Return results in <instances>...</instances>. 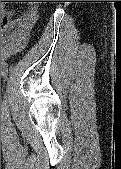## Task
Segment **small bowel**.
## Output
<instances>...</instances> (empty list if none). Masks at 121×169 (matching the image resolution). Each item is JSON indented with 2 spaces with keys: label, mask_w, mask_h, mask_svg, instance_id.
Listing matches in <instances>:
<instances>
[{
  "label": "small bowel",
  "mask_w": 121,
  "mask_h": 169,
  "mask_svg": "<svg viewBox=\"0 0 121 169\" xmlns=\"http://www.w3.org/2000/svg\"><path fill=\"white\" fill-rule=\"evenodd\" d=\"M39 18V12L32 8L20 16L5 10L2 22L1 53L11 57L26 47Z\"/></svg>",
  "instance_id": "obj_1"
}]
</instances>
